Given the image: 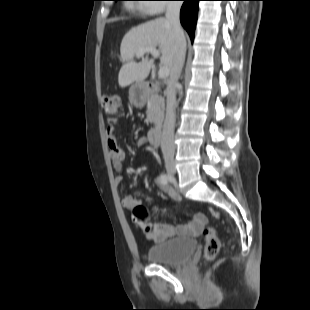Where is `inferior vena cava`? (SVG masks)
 Listing matches in <instances>:
<instances>
[{"label":"inferior vena cava","mask_w":310,"mask_h":310,"mask_svg":"<svg viewBox=\"0 0 310 310\" xmlns=\"http://www.w3.org/2000/svg\"><path fill=\"white\" fill-rule=\"evenodd\" d=\"M181 1H170L167 4L166 19L172 25L175 37L174 56L170 69V78L167 85L166 115L162 127L161 150L163 156H173L174 128H175V108H176V87L180 77L186 54V39L180 25L179 14Z\"/></svg>","instance_id":"obj_1"}]
</instances>
